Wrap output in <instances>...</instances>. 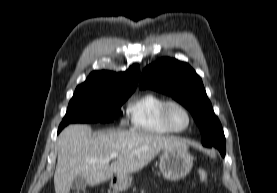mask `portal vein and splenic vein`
<instances>
[{
	"label": "portal vein and splenic vein",
	"mask_w": 277,
	"mask_h": 193,
	"mask_svg": "<svg viewBox=\"0 0 277 193\" xmlns=\"http://www.w3.org/2000/svg\"><path fill=\"white\" fill-rule=\"evenodd\" d=\"M118 157V153L117 152H113V153H111V155H110V158L111 159H115V158H117Z\"/></svg>",
	"instance_id": "portal-vein-and-splenic-vein-1"
}]
</instances>
